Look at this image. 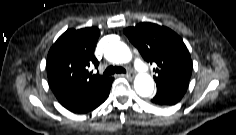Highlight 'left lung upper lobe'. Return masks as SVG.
<instances>
[{"mask_svg": "<svg viewBox=\"0 0 236 135\" xmlns=\"http://www.w3.org/2000/svg\"><path fill=\"white\" fill-rule=\"evenodd\" d=\"M124 33L145 61L156 63V84L189 82L191 57L183 40L175 32L164 26L144 22L125 28Z\"/></svg>", "mask_w": 236, "mask_h": 135, "instance_id": "1", "label": "left lung upper lobe"}]
</instances>
